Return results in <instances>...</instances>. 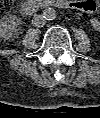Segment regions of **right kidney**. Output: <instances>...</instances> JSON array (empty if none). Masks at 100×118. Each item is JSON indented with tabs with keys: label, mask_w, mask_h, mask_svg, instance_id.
I'll use <instances>...</instances> for the list:
<instances>
[{
	"label": "right kidney",
	"mask_w": 100,
	"mask_h": 118,
	"mask_svg": "<svg viewBox=\"0 0 100 118\" xmlns=\"http://www.w3.org/2000/svg\"><path fill=\"white\" fill-rule=\"evenodd\" d=\"M19 29V21L15 19H5L0 25V35L2 38H12Z\"/></svg>",
	"instance_id": "obj_1"
}]
</instances>
